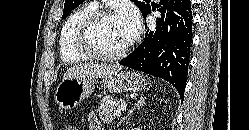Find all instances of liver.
I'll return each instance as SVG.
<instances>
[{
  "label": "liver",
  "instance_id": "obj_1",
  "mask_svg": "<svg viewBox=\"0 0 249 130\" xmlns=\"http://www.w3.org/2000/svg\"><path fill=\"white\" fill-rule=\"evenodd\" d=\"M120 65L85 63L74 65L67 69L63 75V80L66 79H81V78H105L122 70Z\"/></svg>",
  "mask_w": 249,
  "mask_h": 130
}]
</instances>
